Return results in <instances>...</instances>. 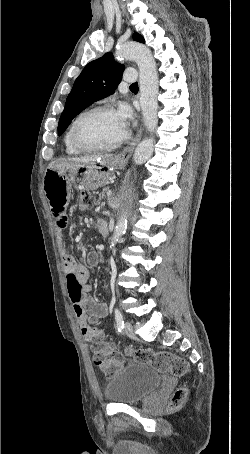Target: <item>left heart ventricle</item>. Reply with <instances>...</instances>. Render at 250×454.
<instances>
[{
	"label": "left heart ventricle",
	"mask_w": 250,
	"mask_h": 454,
	"mask_svg": "<svg viewBox=\"0 0 250 454\" xmlns=\"http://www.w3.org/2000/svg\"><path fill=\"white\" fill-rule=\"evenodd\" d=\"M125 131L115 111L97 112L81 123L78 137L86 145L105 146L118 140Z\"/></svg>",
	"instance_id": "b2bd125f"
}]
</instances>
